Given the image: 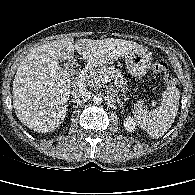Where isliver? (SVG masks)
Returning a JSON list of instances; mask_svg holds the SVG:
<instances>
[{
    "label": "liver",
    "mask_w": 195,
    "mask_h": 195,
    "mask_svg": "<svg viewBox=\"0 0 195 195\" xmlns=\"http://www.w3.org/2000/svg\"><path fill=\"white\" fill-rule=\"evenodd\" d=\"M136 42L106 38H73L51 41L32 49L19 65L13 80V107L19 120L34 131L55 130L66 118L72 79L61 60L76 50L90 67L112 64L125 56Z\"/></svg>",
    "instance_id": "obj_1"
}]
</instances>
